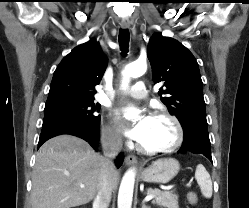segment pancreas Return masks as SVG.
<instances>
[{"label":"pancreas","mask_w":249,"mask_h":208,"mask_svg":"<svg viewBox=\"0 0 249 208\" xmlns=\"http://www.w3.org/2000/svg\"><path fill=\"white\" fill-rule=\"evenodd\" d=\"M147 195L154 196V200L152 201L153 204H157L161 207H166V208H179L178 196L176 194L164 192L157 188L155 189L148 188Z\"/></svg>","instance_id":"1"}]
</instances>
